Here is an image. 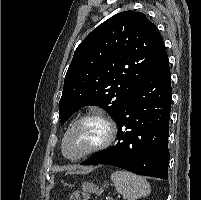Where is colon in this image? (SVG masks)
<instances>
[{
  "instance_id": "1",
  "label": "colon",
  "mask_w": 201,
  "mask_h": 200,
  "mask_svg": "<svg viewBox=\"0 0 201 200\" xmlns=\"http://www.w3.org/2000/svg\"><path fill=\"white\" fill-rule=\"evenodd\" d=\"M70 200H89V195L83 191H75L71 194Z\"/></svg>"
}]
</instances>
